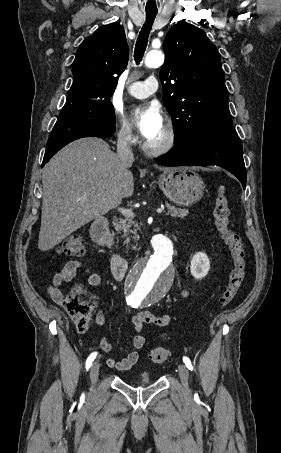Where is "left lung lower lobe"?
I'll list each match as a JSON object with an SVG mask.
<instances>
[{
  "instance_id": "left-lung-lower-lobe-1",
  "label": "left lung lower lobe",
  "mask_w": 281,
  "mask_h": 453,
  "mask_svg": "<svg viewBox=\"0 0 281 453\" xmlns=\"http://www.w3.org/2000/svg\"><path fill=\"white\" fill-rule=\"evenodd\" d=\"M164 166L217 165L225 168L246 185V169L240 139L234 127L203 134L175 145L158 158Z\"/></svg>"
}]
</instances>
